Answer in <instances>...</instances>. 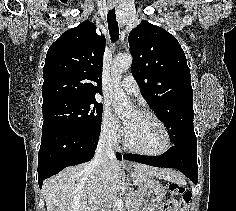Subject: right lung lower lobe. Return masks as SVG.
Listing matches in <instances>:
<instances>
[{
    "mask_svg": "<svg viewBox=\"0 0 236 211\" xmlns=\"http://www.w3.org/2000/svg\"><path fill=\"white\" fill-rule=\"evenodd\" d=\"M99 134L66 126L42 128L41 146L38 154V181L57 174L67 166L90 161L98 144ZM118 160L122 155L116 153Z\"/></svg>",
    "mask_w": 236,
    "mask_h": 211,
    "instance_id": "obj_1",
    "label": "right lung lower lobe"
}]
</instances>
